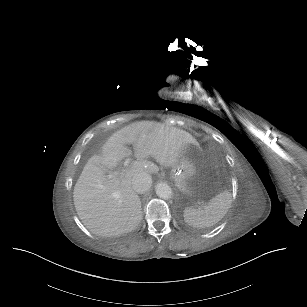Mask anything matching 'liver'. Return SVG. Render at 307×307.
<instances>
[{
	"mask_svg": "<svg viewBox=\"0 0 307 307\" xmlns=\"http://www.w3.org/2000/svg\"><path fill=\"white\" fill-rule=\"evenodd\" d=\"M188 144L197 145L193 136L177 127L153 121L132 123L114 133L102 146L103 156L94 155L77 180L73 200L82 223L94 234L115 236L135 229L142 219L141 201L132 189V178L139 173H158L161 167L174 168ZM135 148L137 160L124 172L106 175Z\"/></svg>",
	"mask_w": 307,
	"mask_h": 307,
	"instance_id": "liver-1",
	"label": "liver"
}]
</instances>
